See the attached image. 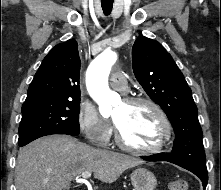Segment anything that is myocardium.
Returning <instances> with one entry per match:
<instances>
[{
    "instance_id": "myocardium-1",
    "label": "myocardium",
    "mask_w": 221,
    "mask_h": 190,
    "mask_svg": "<svg viewBox=\"0 0 221 190\" xmlns=\"http://www.w3.org/2000/svg\"><path fill=\"white\" fill-rule=\"evenodd\" d=\"M124 102L128 105L145 104L151 107L155 111V113L157 114L160 120L161 133H160L157 143H155L154 145H151L149 147H136L125 141L119 127L115 123V139H116L117 144L121 148L127 151H131V152L139 153V154H152V153H157L161 151L162 149H164L171 138L172 126H171V123L167 114L162 109V107L159 104H157L155 101L149 98L140 97V96L128 97L124 100Z\"/></svg>"
}]
</instances>
